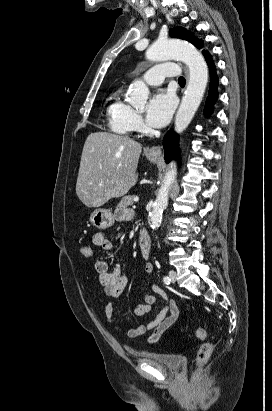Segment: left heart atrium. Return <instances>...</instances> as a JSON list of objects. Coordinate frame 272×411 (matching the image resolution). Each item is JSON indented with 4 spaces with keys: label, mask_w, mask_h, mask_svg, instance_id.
I'll use <instances>...</instances> for the list:
<instances>
[{
    "label": "left heart atrium",
    "mask_w": 272,
    "mask_h": 411,
    "mask_svg": "<svg viewBox=\"0 0 272 411\" xmlns=\"http://www.w3.org/2000/svg\"><path fill=\"white\" fill-rule=\"evenodd\" d=\"M175 99L171 93L160 91L149 101L146 111L147 123L156 128L165 126L174 111Z\"/></svg>",
    "instance_id": "39dd6f15"
}]
</instances>
